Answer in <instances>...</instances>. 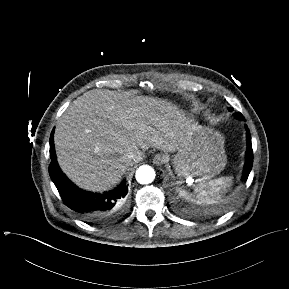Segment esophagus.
<instances>
[{
	"mask_svg": "<svg viewBox=\"0 0 289 289\" xmlns=\"http://www.w3.org/2000/svg\"><path fill=\"white\" fill-rule=\"evenodd\" d=\"M167 162V157L164 154H156L153 157V163L157 166H161Z\"/></svg>",
	"mask_w": 289,
	"mask_h": 289,
	"instance_id": "esophagus-1",
	"label": "esophagus"
}]
</instances>
